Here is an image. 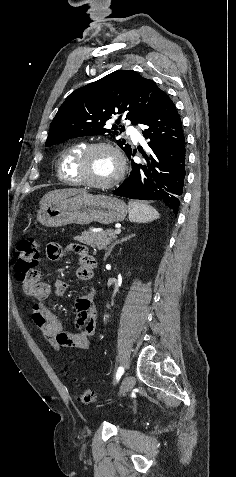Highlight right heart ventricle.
Here are the masks:
<instances>
[{
    "label": "right heart ventricle",
    "instance_id": "right-heart-ventricle-1",
    "mask_svg": "<svg viewBox=\"0 0 236 477\" xmlns=\"http://www.w3.org/2000/svg\"><path fill=\"white\" fill-rule=\"evenodd\" d=\"M83 148V143H76L65 148L60 154L57 163V175L62 182L69 185L81 184L75 172V163Z\"/></svg>",
    "mask_w": 236,
    "mask_h": 477
}]
</instances>
